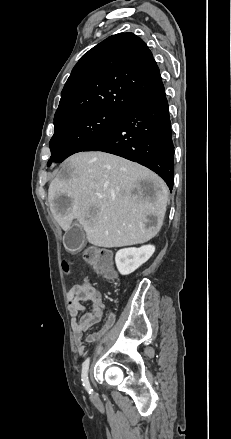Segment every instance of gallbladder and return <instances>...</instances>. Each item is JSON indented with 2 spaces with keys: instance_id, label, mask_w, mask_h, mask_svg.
<instances>
[{
  "instance_id": "obj_1",
  "label": "gallbladder",
  "mask_w": 231,
  "mask_h": 439,
  "mask_svg": "<svg viewBox=\"0 0 231 439\" xmlns=\"http://www.w3.org/2000/svg\"><path fill=\"white\" fill-rule=\"evenodd\" d=\"M85 241V232L78 223L72 224L71 228L64 235L65 247L71 252L80 251L84 247Z\"/></svg>"
}]
</instances>
